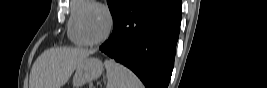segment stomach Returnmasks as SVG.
<instances>
[{
    "label": "stomach",
    "instance_id": "obj_1",
    "mask_svg": "<svg viewBox=\"0 0 267 88\" xmlns=\"http://www.w3.org/2000/svg\"><path fill=\"white\" fill-rule=\"evenodd\" d=\"M103 71V63L94 57H87L80 61L73 77V86L79 88L85 83L100 77Z\"/></svg>",
    "mask_w": 267,
    "mask_h": 88
}]
</instances>
